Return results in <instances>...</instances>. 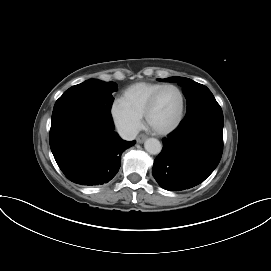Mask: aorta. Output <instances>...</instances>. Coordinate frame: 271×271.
<instances>
[{
    "mask_svg": "<svg viewBox=\"0 0 271 271\" xmlns=\"http://www.w3.org/2000/svg\"><path fill=\"white\" fill-rule=\"evenodd\" d=\"M144 148L148 153L156 155L161 152L162 145L158 139L149 138L145 141Z\"/></svg>",
    "mask_w": 271,
    "mask_h": 271,
    "instance_id": "1",
    "label": "aorta"
}]
</instances>
